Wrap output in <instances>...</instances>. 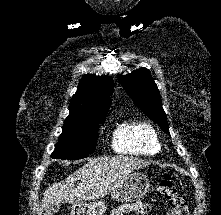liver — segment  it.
I'll return each instance as SVG.
<instances>
[{"label": "liver", "mask_w": 221, "mask_h": 215, "mask_svg": "<svg viewBox=\"0 0 221 215\" xmlns=\"http://www.w3.org/2000/svg\"><path fill=\"white\" fill-rule=\"evenodd\" d=\"M149 163L127 156H103L90 159L87 164L55 183L45 192L41 211L50 203L95 201L113 191L131 172ZM80 181L77 186L75 182Z\"/></svg>", "instance_id": "6515ba94"}]
</instances>
